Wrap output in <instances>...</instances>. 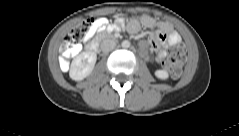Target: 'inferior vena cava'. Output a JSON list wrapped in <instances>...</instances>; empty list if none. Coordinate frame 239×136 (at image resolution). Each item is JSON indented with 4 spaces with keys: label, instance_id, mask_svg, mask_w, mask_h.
<instances>
[{
    "label": "inferior vena cava",
    "instance_id": "602c4592",
    "mask_svg": "<svg viewBox=\"0 0 239 136\" xmlns=\"http://www.w3.org/2000/svg\"><path fill=\"white\" fill-rule=\"evenodd\" d=\"M116 46V43L113 39H104L101 42L100 48L103 52H110L112 51Z\"/></svg>",
    "mask_w": 239,
    "mask_h": 136
}]
</instances>
